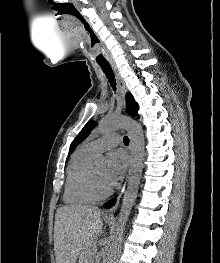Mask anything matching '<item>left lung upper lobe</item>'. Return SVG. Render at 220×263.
<instances>
[{
  "label": "left lung upper lobe",
  "instance_id": "obj_1",
  "mask_svg": "<svg viewBox=\"0 0 220 263\" xmlns=\"http://www.w3.org/2000/svg\"><path fill=\"white\" fill-rule=\"evenodd\" d=\"M127 101V111L131 116H136L138 111V104L135 102L133 96L128 93L126 96ZM95 126L94 121H89L81 130V132L77 135L70 146V153L76 148L78 144H80L91 132L93 127Z\"/></svg>",
  "mask_w": 220,
  "mask_h": 263
}]
</instances>
